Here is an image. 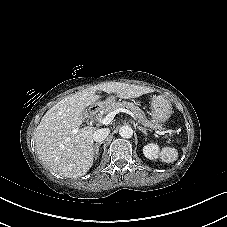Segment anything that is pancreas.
I'll list each match as a JSON object with an SVG mask.
<instances>
[{"label":"pancreas","mask_w":227,"mask_h":227,"mask_svg":"<svg viewBox=\"0 0 227 227\" xmlns=\"http://www.w3.org/2000/svg\"><path fill=\"white\" fill-rule=\"evenodd\" d=\"M119 108H125L130 110L135 114L139 122L144 125L145 127H149L151 129H158L162 130V124L154 121V120H148L145 116V113L140 109L138 106L134 105L133 103L122 101V102H114L111 105H107L102 109V115L108 114L109 112H112L114 110H117Z\"/></svg>","instance_id":"1"}]
</instances>
